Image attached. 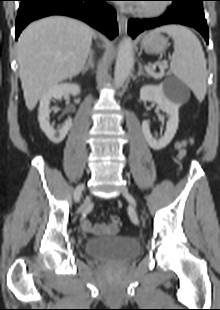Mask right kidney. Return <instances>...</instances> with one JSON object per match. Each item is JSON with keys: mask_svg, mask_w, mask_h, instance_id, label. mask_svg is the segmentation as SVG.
<instances>
[{"mask_svg": "<svg viewBox=\"0 0 220 310\" xmlns=\"http://www.w3.org/2000/svg\"><path fill=\"white\" fill-rule=\"evenodd\" d=\"M80 93V86L72 83H61L58 85L52 86L48 91L41 97L39 105V114L38 120L40 128L48 137V139L55 143L59 144L64 140L68 131L72 126V119L69 118L62 128L54 129L49 123V115L51 112L50 102L53 98L60 100L64 95L71 94L76 96Z\"/></svg>", "mask_w": 220, "mask_h": 310, "instance_id": "ca27d5eb", "label": "right kidney"}]
</instances>
